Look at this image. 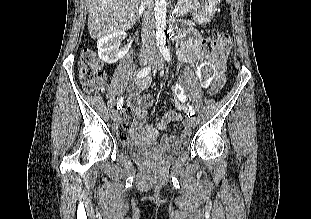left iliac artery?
<instances>
[{"label": "left iliac artery", "instance_id": "44dca946", "mask_svg": "<svg viewBox=\"0 0 311 219\" xmlns=\"http://www.w3.org/2000/svg\"><path fill=\"white\" fill-rule=\"evenodd\" d=\"M161 53H162V55H163V57H164V59L166 61L169 62L171 60L170 52H169L167 47H163L161 49ZM189 113H190L191 116L195 114V110H194V108L192 106H189Z\"/></svg>", "mask_w": 311, "mask_h": 219}]
</instances>
